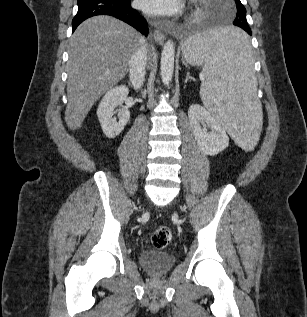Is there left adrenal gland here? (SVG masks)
I'll return each instance as SVG.
<instances>
[{"mask_svg": "<svg viewBox=\"0 0 307 317\" xmlns=\"http://www.w3.org/2000/svg\"><path fill=\"white\" fill-rule=\"evenodd\" d=\"M189 79H193V78L190 76V74H189V72H188L187 75H186L185 83H187V81H188Z\"/></svg>", "mask_w": 307, "mask_h": 317, "instance_id": "left-adrenal-gland-1", "label": "left adrenal gland"}]
</instances>
